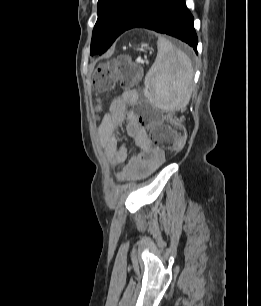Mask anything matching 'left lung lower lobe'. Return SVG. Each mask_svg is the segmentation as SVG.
<instances>
[{"label":"left lung lower lobe","instance_id":"0a47b994","mask_svg":"<svg viewBox=\"0 0 261 306\" xmlns=\"http://www.w3.org/2000/svg\"><path fill=\"white\" fill-rule=\"evenodd\" d=\"M132 28H146L176 37L197 52L193 16L185 0H145L124 32Z\"/></svg>","mask_w":261,"mask_h":306}]
</instances>
